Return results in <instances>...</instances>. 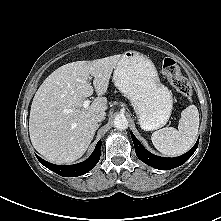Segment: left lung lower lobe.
Returning <instances> with one entry per match:
<instances>
[{
  "label": "left lung lower lobe",
  "instance_id": "0a47b994",
  "mask_svg": "<svg viewBox=\"0 0 221 221\" xmlns=\"http://www.w3.org/2000/svg\"><path fill=\"white\" fill-rule=\"evenodd\" d=\"M131 137H132L136 155L138 156V158L144 163H146L147 165H150L151 167L159 169V170L173 169L185 163L193 155V153L198 147V142H199L198 140L197 143L189 152L179 157L164 158V157L156 156L150 153L149 151H147L132 132H131Z\"/></svg>",
  "mask_w": 221,
  "mask_h": 221
}]
</instances>
